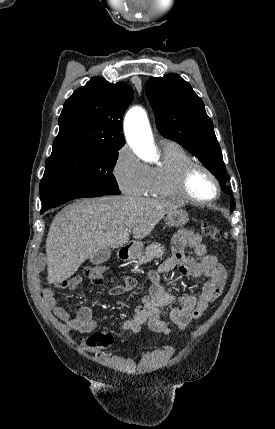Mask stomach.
<instances>
[{
	"instance_id": "1",
	"label": "stomach",
	"mask_w": 275,
	"mask_h": 429,
	"mask_svg": "<svg viewBox=\"0 0 275 429\" xmlns=\"http://www.w3.org/2000/svg\"><path fill=\"white\" fill-rule=\"evenodd\" d=\"M188 220V213L182 208L174 209L166 216L167 224L173 227L184 226L188 222ZM141 247L142 244L135 245L129 252V258L135 259L136 257H138Z\"/></svg>"
}]
</instances>
